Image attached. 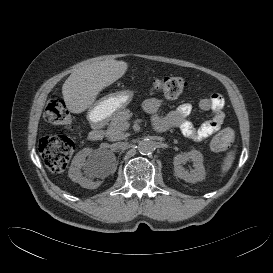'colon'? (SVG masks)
Segmentation results:
<instances>
[{
    "label": "colon",
    "mask_w": 273,
    "mask_h": 273,
    "mask_svg": "<svg viewBox=\"0 0 273 273\" xmlns=\"http://www.w3.org/2000/svg\"><path fill=\"white\" fill-rule=\"evenodd\" d=\"M187 87V81L179 76H166L156 78L152 82L155 92L168 97L180 96ZM45 118L52 124L70 127L71 119L66 110L63 99H51L46 106ZM235 136L230 129L219 132L210 142V148L216 152H222L234 146ZM39 152L52 172H62L74 151V142L66 136H47L40 140Z\"/></svg>",
    "instance_id": "colon-1"
}]
</instances>
